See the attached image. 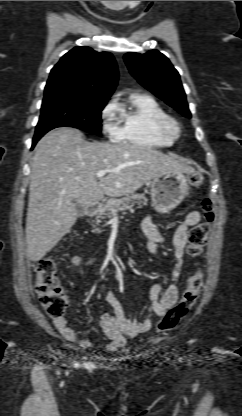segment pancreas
<instances>
[{"label": "pancreas", "instance_id": "1", "mask_svg": "<svg viewBox=\"0 0 242 416\" xmlns=\"http://www.w3.org/2000/svg\"><path fill=\"white\" fill-rule=\"evenodd\" d=\"M142 194H127L125 197L120 199H109L104 205L100 206L97 211L96 224L100 222L99 219L111 218L118 211L124 209H131L136 203L146 205L142 199Z\"/></svg>", "mask_w": 242, "mask_h": 416}]
</instances>
